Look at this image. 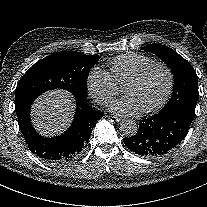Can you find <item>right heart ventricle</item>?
Returning a JSON list of instances; mask_svg holds the SVG:
<instances>
[{
    "label": "right heart ventricle",
    "mask_w": 207,
    "mask_h": 207,
    "mask_svg": "<svg viewBox=\"0 0 207 207\" xmlns=\"http://www.w3.org/2000/svg\"><path fill=\"white\" fill-rule=\"evenodd\" d=\"M151 62L153 60L147 56L127 53L113 60L109 76L115 86L121 85L142 67Z\"/></svg>",
    "instance_id": "right-heart-ventricle-1"
}]
</instances>
